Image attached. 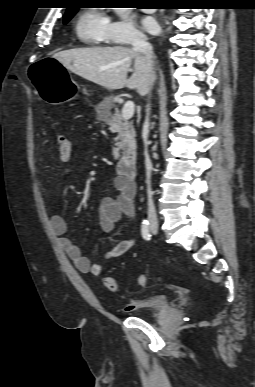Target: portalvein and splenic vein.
<instances>
[{
  "label": "portal vein and splenic vein",
  "instance_id": "portal-vein-and-splenic-vein-1",
  "mask_svg": "<svg viewBox=\"0 0 255 387\" xmlns=\"http://www.w3.org/2000/svg\"><path fill=\"white\" fill-rule=\"evenodd\" d=\"M134 111H135L134 102L133 101H127L124 104L123 108H122V118L125 121L130 120L133 117V115H134Z\"/></svg>",
  "mask_w": 255,
  "mask_h": 387
}]
</instances>
